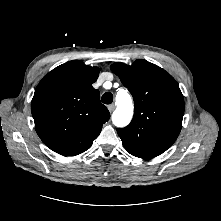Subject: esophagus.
I'll use <instances>...</instances> for the list:
<instances>
[{
  "label": "esophagus",
  "instance_id": "1",
  "mask_svg": "<svg viewBox=\"0 0 221 221\" xmlns=\"http://www.w3.org/2000/svg\"><path fill=\"white\" fill-rule=\"evenodd\" d=\"M108 110L110 111V112H113L114 111V109H115V105L114 104H110V105H108Z\"/></svg>",
  "mask_w": 221,
  "mask_h": 221
}]
</instances>
